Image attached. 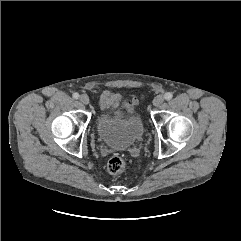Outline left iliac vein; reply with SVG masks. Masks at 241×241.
I'll list each match as a JSON object with an SVG mask.
<instances>
[{"mask_svg":"<svg viewBox=\"0 0 241 241\" xmlns=\"http://www.w3.org/2000/svg\"><path fill=\"white\" fill-rule=\"evenodd\" d=\"M164 102V96L163 95H157L153 99V105L154 106H160Z\"/></svg>","mask_w":241,"mask_h":241,"instance_id":"1","label":"left iliac vein"}]
</instances>
